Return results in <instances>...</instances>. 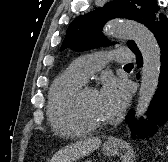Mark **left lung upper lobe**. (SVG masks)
<instances>
[{"instance_id": "5c2ea615", "label": "left lung upper lobe", "mask_w": 168, "mask_h": 162, "mask_svg": "<svg viewBox=\"0 0 168 162\" xmlns=\"http://www.w3.org/2000/svg\"><path fill=\"white\" fill-rule=\"evenodd\" d=\"M159 7L155 0H114L102 8L75 18L69 25L60 50L71 48L74 51H85L106 45L101 30L110 19L121 17L132 19L149 28L163 14L158 13ZM128 47L137 49L133 41H128Z\"/></svg>"}]
</instances>
